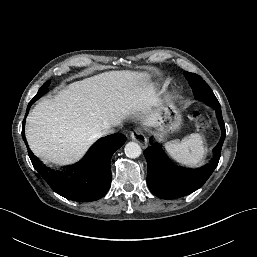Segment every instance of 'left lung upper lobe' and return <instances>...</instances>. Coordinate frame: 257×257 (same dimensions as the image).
Here are the masks:
<instances>
[{
    "label": "left lung upper lobe",
    "instance_id": "5c2ea615",
    "mask_svg": "<svg viewBox=\"0 0 257 257\" xmlns=\"http://www.w3.org/2000/svg\"><path fill=\"white\" fill-rule=\"evenodd\" d=\"M184 76L188 80L196 99L203 100L212 107L220 106L211 88L201 77L189 72H184Z\"/></svg>",
    "mask_w": 257,
    "mask_h": 257
}]
</instances>
